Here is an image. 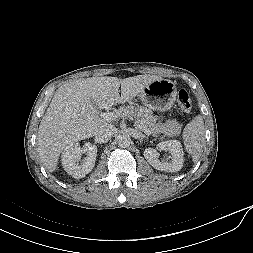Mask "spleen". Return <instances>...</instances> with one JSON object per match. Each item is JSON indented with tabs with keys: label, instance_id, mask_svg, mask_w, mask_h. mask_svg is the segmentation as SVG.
Masks as SVG:
<instances>
[{
	"label": "spleen",
	"instance_id": "1",
	"mask_svg": "<svg viewBox=\"0 0 253 253\" xmlns=\"http://www.w3.org/2000/svg\"><path fill=\"white\" fill-rule=\"evenodd\" d=\"M204 136V121L201 115H197L186 125L183 131L185 149L192 156L194 162L199 160L203 152Z\"/></svg>",
	"mask_w": 253,
	"mask_h": 253
}]
</instances>
